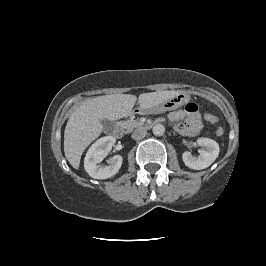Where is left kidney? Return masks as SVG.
I'll list each match as a JSON object with an SVG mask.
<instances>
[{
	"label": "left kidney",
	"mask_w": 266,
	"mask_h": 266,
	"mask_svg": "<svg viewBox=\"0 0 266 266\" xmlns=\"http://www.w3.org/2000/svg\"><path fill=\"white\" fill-rule=\"evenodd\" d=\"M199 146L204 147L198 156H193L186 151L182 155L184 164L195 170H202L209 167L219 155V145L216 141L209 138H199L197 140Z\"/></svg>",
	"instance_id": "obj_1"
}]
</instances>
